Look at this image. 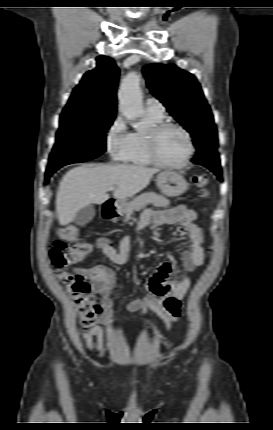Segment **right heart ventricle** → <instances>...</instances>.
<instances>
[{
	"label": "right heart ventricle",
	"instance_id": "1",
	"mask_svg": "<svg viewBox=\"0 0 273 430\" xmlns=\"http://www.w3.org/2000/svg\"><path fill=\"white\" fill-rule=\"evenodd\" d=\"M146 117L152 126L162 122L164 119V115L160 116L148 111ZM133 141V148L127 162L138 167L151 166L153 163L148 152L147 133L141 131L134 132Z\"/></svg>",
	"mask_w": 273,
	"mask_h": 430
}]
</instances>
